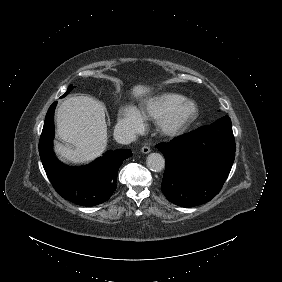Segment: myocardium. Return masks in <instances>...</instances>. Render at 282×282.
Segmentation results:
<instances>
[{"instance_id": "myocardium-1", "label": "myocardium", "mask_w": 282, "mask_h": 282, "mask_svg": "<svg viewBox=\"0 0 282 282\" xmlns=\"http://www.w3.org/2000/svg\"><path fill=\"white\" fill-rule=\"evenodd\" d=\"M194 117L193 104L189 100L182 101L165 116V125L169 130H175Z\"/></svg>"}]
</instances>
